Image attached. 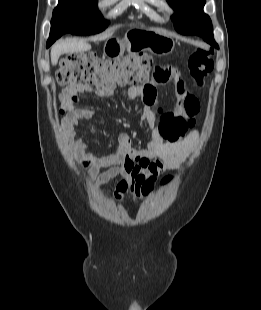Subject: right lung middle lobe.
I'll list each match as a JSON object with an SVG mask.
<instances>
[{"label":"right lung middle lobe","mask_w":261,"mask_h":310,"mask_svg":"<svg viewBox=\"0 0 261 310\" xmlns=\"http://www.w3.org/2000/svg\"><path fill=\"white\" fill-rule=\"evenodd\" d=\"M98 0H59L53 11L50 37L56 34L72 33L91 35L107 27L97 10Z\"/></svg>","instance_id":"1"}]
</instances>
